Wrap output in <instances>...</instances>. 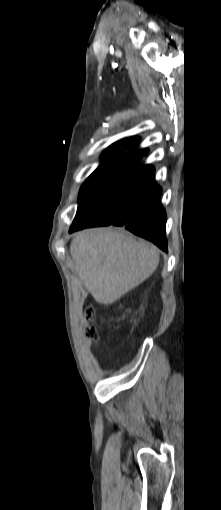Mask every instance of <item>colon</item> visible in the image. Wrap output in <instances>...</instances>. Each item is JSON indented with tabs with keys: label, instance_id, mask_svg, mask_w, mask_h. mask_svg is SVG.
I'll return each mask as SVG.
<instances>
[{
	"label": "colon",
	"instance_id": "1",
	"mask_svg": "<svg viewBox=\"0 0 221 510\" xmlns=\"http://www.w3.org/2000/svg\"><path fill=\"white\" fill-rule=\"evenodd\" d=\"M85 319H86V322L88 324V328L86 329L85 331V335L92 339V340H95L96 337H97V333L93 327V324L95 322V312H94V309L91 308V307H88L86 310H85Z\"/></svg>",
	"mask_w": 221,
	"mask_h": 510
}]
</instances>
